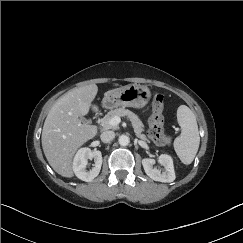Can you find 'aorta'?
Instances as JSON below:
<instances>
[{"label":"aorta","mask_w":243,"mask_h":243,"mask_svg":"<svg viewBox=\"0 0 243 243\" xmlns=\"http://www.w3.org/2000/svg\"><path fill=\"white\" fill-rule=\"evenodd\" d=\"M118 142L121 146H127L130 143V138L127 135H121Z\"/></svg>","instance_id":"aorta-1"}]
</instances>
